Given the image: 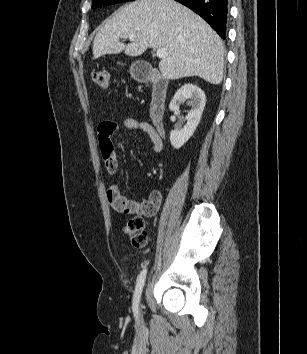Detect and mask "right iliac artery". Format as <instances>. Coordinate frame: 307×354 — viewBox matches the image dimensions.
<instances>
[{
    "label": "right iliac artery",
    "instance_id": "right-iliac-artery-1",
    "mask_svg": "<svg viewBox=\"0 0 307 354\" xmlns=\"http://www.w3.org/2000/svg\"><path fill=\"white\" fill-rule=\"evenodd\" d=\"M146 273H147V269H143V271H141V273L139 274L138 278H137V283H136V288H135V292H134V296H133V313L134 316L136 317V319L138 318V304L140 301V297H141V293L143 290V286H144V282H145V278H146Z\"/></svg>",
    "mask_w": 307,
    "mask_h": 354
}]
</instances>
